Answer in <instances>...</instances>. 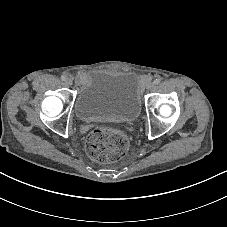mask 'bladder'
Masks as SVG:
<instances>
[{"label": "bladder", "mask_w": 227, "mask_h": 227, "mask_svg": "<svg viewBox=\"0 0 227 227\" xmlns=\"http://www.w3.org/2000/svg\"><path fill=\"white\" fill-rule=\"evenodd\" d=\"M81 121L96 118H119L136 121L142 112L141 89L137 76L132 72L92 74L73 105Z\"/></svg>", "instance_id": "31cf9c89"}]
</instances>
